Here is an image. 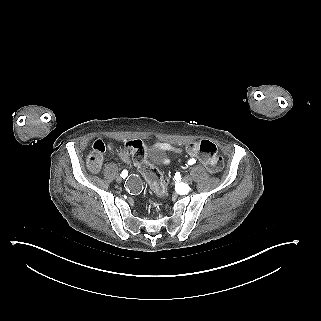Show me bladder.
Returning a JSON list of instances; mask_svg holds the SVG:
<instances>
[{"mask_svg":"<svg viewBox=\"0 0 321 321\" xmlns=\"http://www.w3.org/2000/svg\"><path fill=\"white\" fill-rule=\"evenodd\" d=\"M144 159L147 164L155 167L163 164L167 158L164 150L158 148H148L144 151Z\"/></svg>","mask_w":321,"mask_h":321,"instance_id":"1","label":"bladder"}]
</instances>
